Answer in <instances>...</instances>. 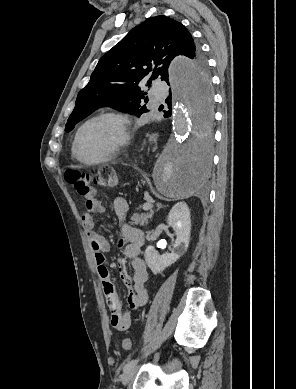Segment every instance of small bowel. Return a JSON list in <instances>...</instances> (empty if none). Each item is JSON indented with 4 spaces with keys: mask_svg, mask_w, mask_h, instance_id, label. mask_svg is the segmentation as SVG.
Returning <instances> with one entry per match:
<instances>
[{
    "mask_svg": "<svg viewBox=\"0 0 296 389\" xmlns=\"http://www.w3.org/2000/svg\"><path fill=\"white\" fill-rule=\"evenodd\" d=\"M128 209V204L124 198L117 197L114 199L113 210L117 217L123 222L119 246L123 247L124 255L131 260L133 268V277L129 278L122 264H120L121 276L128 287L127 303L130 311L125 313L122 312L121 303L112 285L109 271L105 266V253L109 251L110 243L104 236L98 234L95 230L96 223L94 214L104 212L105 207L93 192L85 197L84 213L81 218L84 231L90 241L97 273L111 313V325L118 332L125 331L129 328L131 323V312L145 306L150 296L146 286L148 280L146 264L140 257L141 247L144 244V234L141 230L132 227L125 222Z\"/></svg>",
    "mask_w": 296,
    "mask_h": 389,
    "instance_id": "small-bowel-1",
    "label": "small bowel"
}]
</instances>
